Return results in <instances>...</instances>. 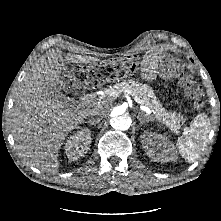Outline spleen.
Masks as SVG:
<instances>
[{
  "instance_id": "1",
  "label": "spleen",
  "mask_w": 221,
  "mask_h": 221,
  "mask_svg": "<svg viewBox=\"0 0 221 221\" xmlns=\"http://www.w3.org/2000/svg\"><path fill=\"white\" fill-rule=\"evenodd\" d=\"M210 132V121L207 115L200 114L193 120L185 137L178 139L180 154L189 162H194L203 153Z\"/></svg>"
}]
</instances>
